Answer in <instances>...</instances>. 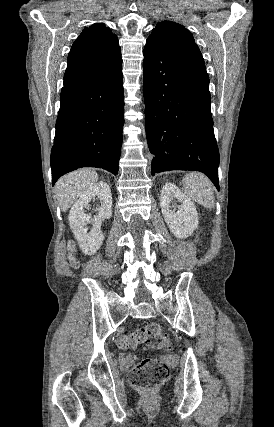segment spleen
I'll list each match as a JSON object with an SVG mask.
<instances>
[{
    "instance_id": "spleen-1",
    "label": "spleen",
    "mask_w": 274,
    "mask_h": 427,
    "mask_svg": "<svg viewBox=\"0 0 274 427\" xmlns=\"http://www.w3.org/2000/svg\"><path fill=\"white\" fill-rule=\"evenodd\" d=\"M183 188L186 196L191 200H196L204 208H214V196L211 182L204 174H186L183 180Z\"/></svg>"
}]
</instances>
